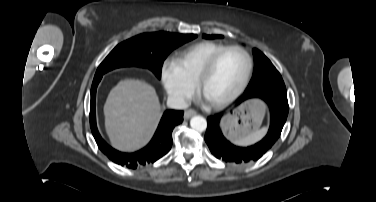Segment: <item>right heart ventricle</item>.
I'll return each instance as SVG.
<instances>
[{"mask_svg":"<svg viewBox=\"0 0 376 202\" xmlns=\"http://www.w3.org/2000/svg\"><path fill=\"white\" fill-rule=\"evenodd\" d=\"M225 47L218 42L202 41L177 52L174 60L187 80L195 85L207 61Z\"/></svg>","mask_w":376,"mask_h":202,"instance_id":"obj_1","label":"right heart ventricle"}]
</instances>
